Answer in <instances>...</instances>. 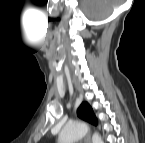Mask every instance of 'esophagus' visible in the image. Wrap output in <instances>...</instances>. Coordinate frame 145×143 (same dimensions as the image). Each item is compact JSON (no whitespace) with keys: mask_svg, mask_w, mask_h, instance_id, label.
I'll use <instances>...</instances> for the list:
<instances>
[{"mask_svg":"<svg viewBox=\"0 0 145 143\" xmlns=\"http://www.w3.org/2000/svg\"><path fill=\"white\" fill-rule=\"evenodd\" d=\"M85 143H91L90 133L87 134L85 138Z\"/></svg>","mask_w":145,"mask_h":143,"instance_id":"esophagus-1","label":"esophagus"}]
</instances>
